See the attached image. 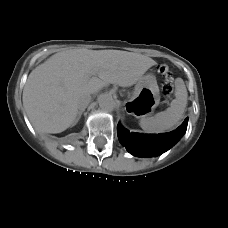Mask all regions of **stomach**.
I'll list each match as a JSON object with an SVG mask.
<instances>
[{
    "label": "stomach",
    "instance_id": "1",
    "mask_svg": "<svg viewBox=\"0 0 228 228\" xmlns=\"http://www.w3.org/2000/svg\"><path fill=\"white\" fill-rule=\"evenodd\" d=\"M132 103L138 107L140 117L149 116L160 100L159 87L154 75L147 74L139 79L130 96Z\"/></svg>",
    "mask_w": 228,
    "mask_h": 228
}]
</instances>
